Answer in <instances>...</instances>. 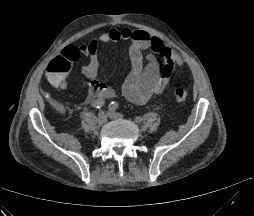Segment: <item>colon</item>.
Masks as SVG:
<instances>
[{
    "label": "colon",
    "mask_w": 254,
    "mask_h": 216,
    "mask_svg": "<svg viewBox=\"0 0 254 216\" xmlns=\"http://www.w3.org/2000/svg\"><path fill=\"white\" fill-rule=\"evenodd\" d=\"M72 61L69 63L64 62L61 57L55 58L47 67V73L50 80H58L64 73H66ZM175 100L179 103L184 102L187 99V92L183 88H176L174 91Z\"/></svg>",
    "instance_id": "obj_1"
}]
</instances>
